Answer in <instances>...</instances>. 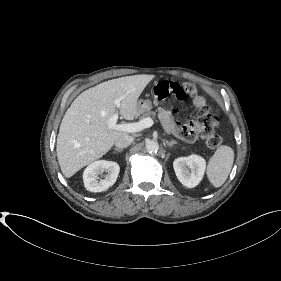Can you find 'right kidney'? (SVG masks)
I'll return each mask as SVG.
<instances>
[{
	"instance_id": "obj_1",
	"label": "right kidney",
	"mask_w": 281,
	"mask_h": 281,
	"mask_svg": "<svg viewBox=\"0 0 281 281\" xmlns=\"http://www.w3.org/2000/svg\"><path fill=\"white\" fill-rule=\"evenodd\" d=\"M120 167L116 162L99 160L90 164L83 172L85 188L90 192H102L111 187L118 177ZM106 172L104 179L99 176Z\"/></svg>"
}]
</instances>
